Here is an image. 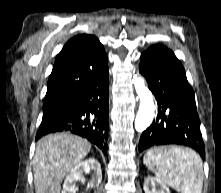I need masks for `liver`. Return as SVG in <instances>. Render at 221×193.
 Listing matches in <instances>:
<instances>
[{
  "instance_id": "1",
  "label": "liver",
  "mask_w": 221,
  "mask_h": 193,
  "mask_svg": "<svg viewBox=\"0 0 221 193\" xmlns=\"http://www.w3.org/2000/svg\"><path fill=\"white\" fill-rule=\"evenodd\" d=\"M90 150L87 140L69 133L42 137L33 158L35 192L60 193L62 180Z\"/></svg>"
}]
</instances>
